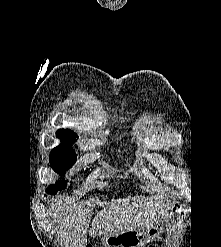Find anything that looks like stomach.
I'll list each match as a JSON object with an SVG mask.
<instances>
[{
	"label": "stomach",
	"instance_id": "0dacf381",
	"mask_svg": "<svg viewBox=\"0 0 221 247\" xmlns=\"http://www.w3.org/2000/svg\"><path fill=\"white\" fill-rule=\"evenodd\" d=\"M184 211V204L180 201L175 202L170 208L167 216L153 224L147 229H131L120 231L103 237L105 247H142L145 240L158 236L170 220Z\"/></svg>",
	"mask_w": 221,
	"mask_h": 247
}]
</instances>
